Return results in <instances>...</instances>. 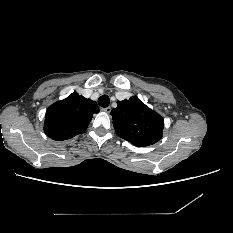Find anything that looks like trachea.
I'll return each instance as SVG.
<instances>
[{
  "instance_id": "3493384b",
  "label": "trachea",
  "mask_w": 233,
  "mask_h": 233,
  "mask_svg": "<svg viewBox=\"0 0 233 233\" xmlns=\"http://www.w3.org/2000/svg\"><path fill=\"white\" fill-rule=\"evenodd\" d=\"M98 104L101 106V107H108L109 104H110V99H109V96L108 95H102L99 97L98 99Z\"/></svg>"
}]
</instances>
